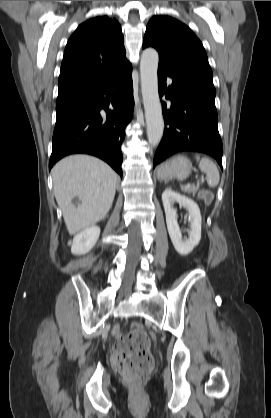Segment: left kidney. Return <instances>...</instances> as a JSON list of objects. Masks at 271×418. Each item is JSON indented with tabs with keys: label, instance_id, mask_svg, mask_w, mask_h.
Returning a JSON list of instances; mask_svg holds the SVG:
<instances>
[{
	"label": "left kidney",
	"instance_id": "5707ae66",
	"mask_svg": "<svg viewBox=\"0 0 271 418\" xmlns=\"http://www.w3.org/2000/svg\"><path fill=\"white\" fill-rule=\"evenodd\" d=\"M162 202L166 214L167 229L171 241L180 255H188L201 239V223L202 218L198 205L190 198L180 195L177 192L167 188L162 194ZM174 203H179L189 213L188 221L190 222L189 237L183 239L181 230L177 223V212L173 208Z\"/></svg>",
	"mask_w": 271,
	"mask_h": 418
}]
</instances>
